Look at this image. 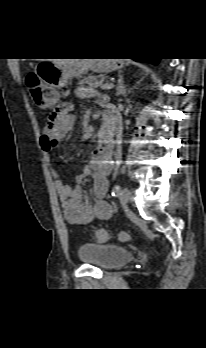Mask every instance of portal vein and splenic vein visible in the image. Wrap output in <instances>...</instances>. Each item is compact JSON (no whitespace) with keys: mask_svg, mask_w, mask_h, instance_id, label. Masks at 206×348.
Masks as SVG:
<instances>
[{"mask_svg":"<svg viewBox=\"0 0 206 348\" xmlns=\"http://www.w3.org/2000/svg\"><path fill=\"white\" fill-rule=\"evenodd\" d=\"M100 87L102 90H109V89H112L114 87V84L113 83H106V84H102Z\"/></svg>","mask_w":206,"mask_h":348,"instance_id":"portal-vein-and-splenic-vein-1","label":"portal vein and splenic vein"}]
</instances>
